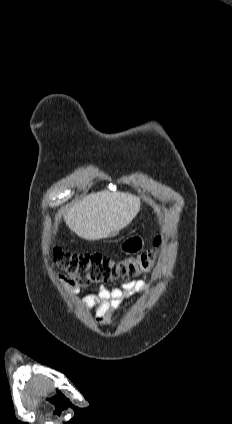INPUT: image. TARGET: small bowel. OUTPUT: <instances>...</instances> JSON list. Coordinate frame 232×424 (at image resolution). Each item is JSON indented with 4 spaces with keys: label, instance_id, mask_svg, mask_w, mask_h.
<instances>
[{
    "label": "small bowel",
    "instance_id": "c3829d8e",
    "mask_svg": "<svg viewBox=\"0 0 232 424\" xmlns=\"http://www.w3.org/2000/svg\"><path fill=\"white\" fill-rule=\"evenodd\" d=\"M147 290L148 286L142 280L127 281L115 287L100 286L97 292L86 295L82 304L85 309L95 308L96 320L102 324L110 319L112 311L120 307L127 298Z\"/></svg>",
    "mask_w": 232,
    "mask_h": 424
}]
</instances>
